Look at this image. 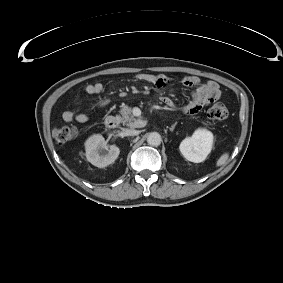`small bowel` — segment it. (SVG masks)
Segmentation results:
<instances>
[{
  "mask_svg": "<svg viewBox=\"0 0 283 283\" xmlns=\"http://www.w3.org/2000/svg\"><path fill=\"white\" fill-rule=\"evenodd\" d=\"M135 78L138 81L156 84L159 87H164L168 82L165 78H160L159 76L151 73H139L135 76ZM183 82L186 86H196L192 94V98L184 107V111L186 113L194 114L200 111L204 106L218 100L221 96L219 85L215 81L209 80L199 84V79L197 77H186ZM84 90L87 94L96 95L103 91V86L98 82L90 83L85 86ZM162 101L168 106L173 105L171 99L168 97H163ZM108 104L109 100L103 99L97 103V107L103 108ZM62 117L66 122L77 121L79 123H85L88 121V116L86 114L75 112L73 110L65 111Z\"/></svg>",
  "mask_w": 283,
  "mask_h": 283,
  "instance_id": "c3829d8e",
  "label": "small bowel"
}]
</instances>
